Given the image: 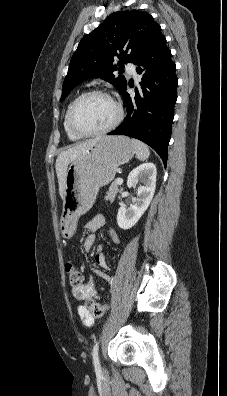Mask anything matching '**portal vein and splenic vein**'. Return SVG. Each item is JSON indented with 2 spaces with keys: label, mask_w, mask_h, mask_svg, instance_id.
<instances>
[{
  "label": "portal vein and splenic vein",
  "mask_w": 227,
  "mask_h": 396,
  "mask_svg": "<svg viewBox=\"0 0 227 396\" xmlns=\"http://www.w3.org/2000/svg\"><path fill=\"white\" fill-rule=\"evenodd\" d=\"M117 185H121L123 183V179L122 178H118L116 180Z\"/></svg>",
  "instance_id": "obj_1"
}]
</instances>
